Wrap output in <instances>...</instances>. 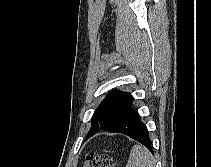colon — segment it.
<instances>
[{"instance_id":"colon-1","label":"colon","mask_w":211,"mask_h":167,"mask_svg":"<svg viewBox=\"0 0 211 167\" xmlns=\"http://www.w3.org/2000/svg\"><path fill=\"white\" fill-rule=\"evenodd\" d=\"M82 167H117L109 156L90 153L85 158Z\"/></svg>"}]
</instances>
